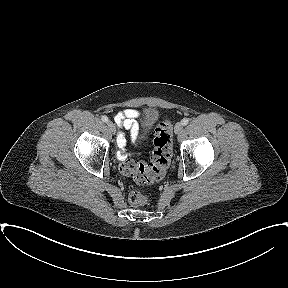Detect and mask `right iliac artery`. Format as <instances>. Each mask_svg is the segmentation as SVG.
Here are the masks:
<instances>
[{"instance_id":"82829eb1","label":"right iliac artery","mask_w":288,"mask_h":288,"mask_svg":"<svg viewBox=\"0 0 288 288\" xmlns=\"http://www.w3.org/2000/svg\"><path fill=\"white\" fill-rule=\"evenodd\" d=\"M101 120L106 123V122H108V117L107 116H102Z\"/></svg>"}]
</instances>
